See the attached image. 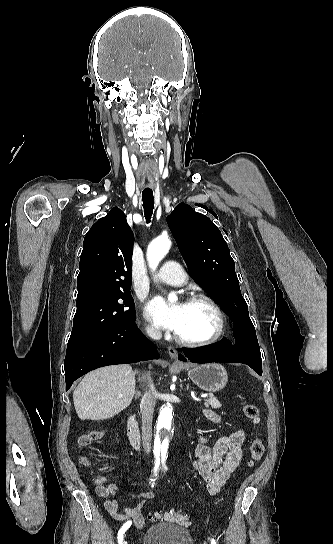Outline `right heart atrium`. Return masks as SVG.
<instances>
[{
  "label": "right heart atrium",
  "mask_w": 333,
  "mask_h": 544,
  "mask_svg": "<svg viewBox=\"0 0 333 544\" xmlns=\"http://www.w3.org/2000/svg\"><path fill=\"white\" fill-rule=\"evenodd\" d=\"M145 333L151 338H157L159 336V331L152 325L145 326Z\"/></svg>",
  "instance_id": "1"
}]
</instances>
